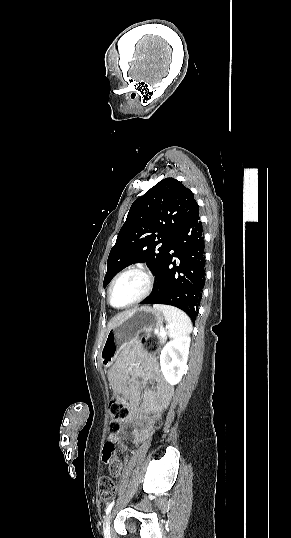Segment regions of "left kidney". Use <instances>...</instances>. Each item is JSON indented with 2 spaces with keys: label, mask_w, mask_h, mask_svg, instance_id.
Segmentation results:
<instances>
[{
  "label": "left kidney",
  "mask_w": 291,
  "mask_h": 538,
  "mask_svg": "<svg viewBox=\"0 0 291 538\" xmlns=\"http://www.w3.org/2000/svg\"><path fill=\"white\" fill-rule=\"evenodd\" d=\"M191 338L180 336L169 341L161 351V371L170 385H176L181 380L186 368Z\"/></svg>",
  "instance_id": "obj_1"
}]
</instances>
